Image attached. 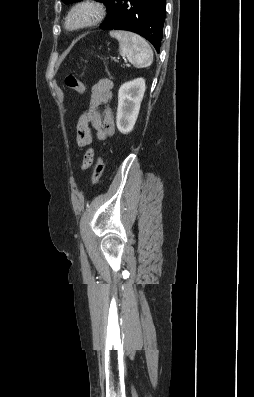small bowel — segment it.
<instances>
[{
    "instance_id": "obj_1",
    "label": "small bowel",
    "mask_w": 254,
    "mask_h": 397,
    "mask_svg": "<svg viewBox=\"0 0 254 397\" xmlns=\"http://www.w3.org/2000/svg\"><path fill=\"white\" fill-rule=\"evenodd\" d=\"M113 83L109 79L99 80L91 91L88 108L79 117L77 130V143L80 147L89 146L92 142L91 128L96 130L99 140H105L115 132L112 111L109 107L112 101ZM103 106L101 112L99 107ZM94 150L88 148L84 154L81 169L86 170L93 162Z\"/></svg>"
}]
</instances>
